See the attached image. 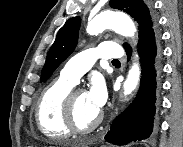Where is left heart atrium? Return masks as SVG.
<instances>
[{
  "instance_id": "left-heart-atrium-1",
  "label": "left heart atrium",
  "mask_w": 183,
  "mask_h": 147,
  "mask_svg": "<svg viewBox=\"0 0 183 147\" xmlns=\"http://www.w3.org/2000/svg\"><path fill=\"white\" fill-rule=\"evenodd\" d=\"M86 94L91 104L98 111H100L107 98V91L104 81L100 78L93 79L91 86Z\"/></svg>"
}]
</instances>
